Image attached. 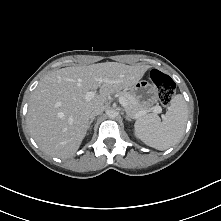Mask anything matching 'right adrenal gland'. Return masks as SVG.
Here are the masks:
<instances>
[{
  "label": "right adrenal gland",
  "mask_w": 221,
  "mask_h": 221,
  "mask_svg": "<svg viewBox=\"0 0 221 221\" xmlns=\"http://www.w3.org/2000/svg\"><path fill=\"white\" fill-rule=\"evenodd\" d=\"M95 117L91 118L90 121H89V125H88V128H90L91 124L93 123Z\"/></svg>",
  "instance_id": "right-adrenal-gland-1"
}]
</instances>
